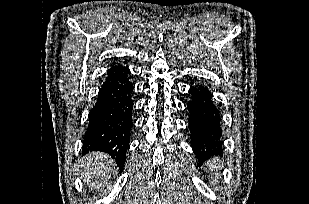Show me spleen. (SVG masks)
I'll use <instances>...</instances> for the list:
<instances>
[{
    "mask_svg": "<svg viewBox=\"0 0 309 204\" xmlns=\"http://www.w3.org/2000/svg\"><path fill=\"white\" fill-rule=\"evenodd\" d=\"M208 164H209L210 167L212 166V169L214 171L216 169V171L218 173V167H219V160L218 159H214L212 162H209Z\"/></svg>",
    "mask_w": 309,
    "mask_h": 204,
    "instance_id": "spleen-1",
    "label": "spleen"
}]
</instances>
